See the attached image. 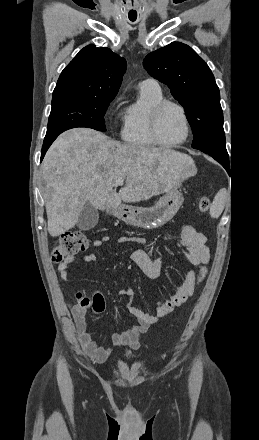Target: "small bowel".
<instances>
[{
    "instance_id": "obj_1",
    "label": "small bowel",
    "mask_w": 259,
    "mask_h": 440,
    "mask_svg": "<svg viewBox=\"0 0 259 440\" xmlns=\"http://www.w3.org/2000/svg\"><path fill=\"white\" fill-rule=\"evenodd\" d=\"M140 240L137 237H121L117 240V243L121 244L128 241L140 242ZM109 241V237L105 236L94 240L92 245L95 248H99L109 243ZM175 248L182 251L183 258L191 267L186 271L184 279L177 285L175 294L166 301H158L156 303L155 315L145 313L134 305V290L132 288L118 291L119 295L128 297L127 309L136 318L137 323L130 329L111 333L109 340L113 345L138 348L141 335L151 325L157 323L160 318L183 305L194 294L196 288L205 278L210 260L206 237L202 233L197 232L191 225L184 224L181 228L180 240L176 243ZM131 258L146 276L150 278L160 276L164 266V262L160 257H152L146 251L137 249L132 253ZM95 260L96 256L94 254H88L83 257V261L87 263ZM73 262L74 257H68L59 265L58 272L62 279L67 278ZM194 267L197 268V271L194 270ZM93 298L95 300L93 304L94 312L97 314L103 313L106 310L103 296L100 293H95ZM84 313L85 310L75 312L76 328L82 349L93 360L105 361L110 356L111 349L99 346L93 340L88 331Z\"/></svg>"
}]
</instances>
